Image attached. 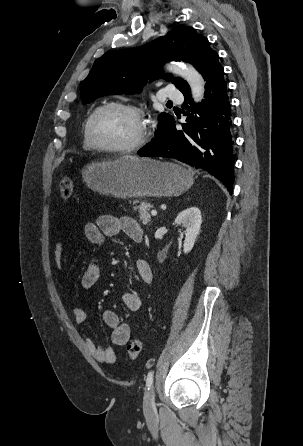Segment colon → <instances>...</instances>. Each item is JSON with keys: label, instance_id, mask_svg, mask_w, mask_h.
Segmentation results:
<instances>
[{"label": "colon", "instance_id": "obj_1", "mask_svg": "<svg viewBox=\"0 0 303 446\" xmlns=\"http://www.w3.org/2000/svg\"><path fill=\"white\" fill-rule=\"evenodd\" d=\"M59 191L64 199H69L73 193V184L68 176H62L59 183ZM144 341L142 338L131 340L126 346V356L129 360L136 359L142 351Z\"/></svg>", "mask_w": 303, "mask_h": 446}]
</instances>
